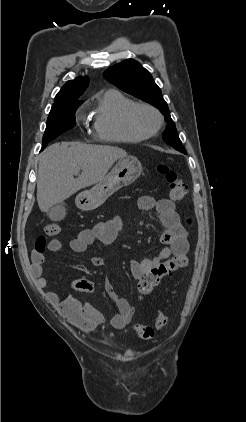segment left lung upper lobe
I'll return each mask as SVG.
<instances>
[{
  "label": "left lung upper lobe",
  "instance_id": "1",
  "mask_svg": "<svg viewBox=\"0 0 246 422\" xmlns=\"http://www.w3.org/2000/svg\"><path fill=\"white\" fill-rule=\"evenodd\" d=\"M103 76L124 92L158 108L164 115L165 121L168 122L163 132V140L176 150L186 154L160 88L154 82L151 74L140 63L133 59H127L108 68Z\"/></svg>",
  "mask_w": 246,
  "mask_h": 422
}]
</instances>
